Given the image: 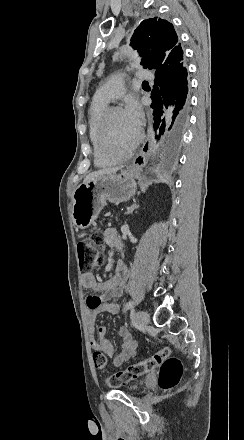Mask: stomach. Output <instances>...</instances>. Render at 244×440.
<instances>
[{
    "label": "stomach",
    "instance_id": "stomach-1",
    "mask_svg": "<svg viewBox=\"0 0 244 440\" xmlns=\"http://www.w3.org/2000/svg\"><path fill=\"white\" fill-rule=\"evenodd\" d=\"M139 172L131 168L120 174H106L103 178H91L87 184H80L73 192L71 216L74 226L85 230L96 220L106 202L120 204L136 194Z\"/></svg>",
    "mask_w": 244,
    "mask_h": 440
}]
</instances>
